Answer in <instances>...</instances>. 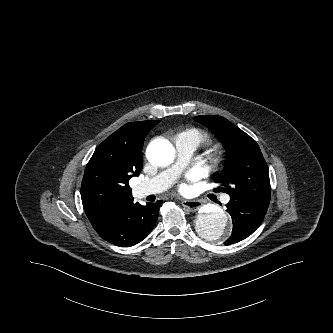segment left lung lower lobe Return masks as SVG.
<instances>
[{"instance_id": "1", "label": "left lung lower lobe", "mask_w": 333, "mask_h": 333, "mask_svg": "<svg viewBox=\"0 0 333 333\" xmlns=\"http://www.w3.org/2000/svg\"><path fill=\"white\" fill-rule=\"evenodd\" d=\"M268 207L230 199L227 211L232 217L233 230L225 245L239 242L251 235L262 223Z\"/></svg>"}]
</instances>
